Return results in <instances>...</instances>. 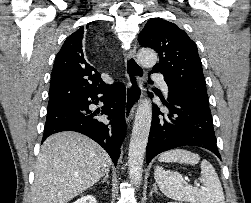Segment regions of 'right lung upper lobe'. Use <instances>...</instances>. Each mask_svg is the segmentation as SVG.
<instances>
[{
    "label": "right lung upper lobe",
    "mask_w": 251,
    "mask_h": 203,
    "mask_svg": "<svg viewBox=\"0 0 251 203\" xmlns=\"http://www.w3.org/2000/svg\"><path fill=\"white\" fill-rule=\"evenodd\" d=\"M87 28L88 25L71 34L56 56L48 109L72 101L91 88L106 85L100 73L85 60L82 39Z\"/></svg>",
    "instance_id": "obj_1"
}]
</instances>
